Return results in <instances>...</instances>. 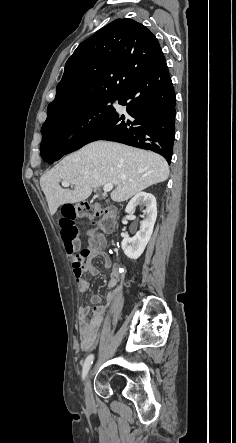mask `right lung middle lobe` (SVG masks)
I'll return each mask as SVG.
<instances>
[{
  "label": "right lung middle lobe",
  "instance_id": "dd1d6c3e",
  "mask_svg": "<svg viewBox=\"0 0 236 443\" xmlns=\"http://www.w3.org/2000/svg\"><path fill=\"white\" fill-rule=\"evenodd\" d=\"M117 99V96H97L78 107L47 118L41 128L40 149L45 146H67L107 116L113 110L108 104Z\"/></svg>",
  "mask_w": 236,
  "mask_h": 443
}]
</instances>
